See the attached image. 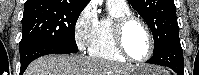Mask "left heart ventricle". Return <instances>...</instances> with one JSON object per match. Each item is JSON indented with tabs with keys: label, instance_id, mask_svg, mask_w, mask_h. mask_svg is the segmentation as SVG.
<instances>
[{
	"label": "left heart ventricle",
	"instance_id": "b2bd125f",
	"mask_svg": "<svg viewBox=\"0 0 199 75\" xmlns=\"http://www.w3.org/2000/svg\"><path fill=\"white\" fill-rule=\"evenodd\" d=\"M124 42L128 53L136 59L143 58L149 49L147 35L143 27L133 22L125 30Z\"/></svg>",
	"mask_w": 199,
	"mask_h": 75
}]
</instances>
